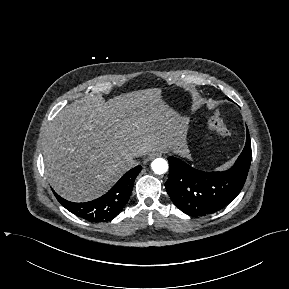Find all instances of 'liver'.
Masks as SVG:
<instances>
[{"label": "liver", "mask_w": 289, "mask_h": 289, "mask_svg": "<svg viewBox=\"0 0 289 289\" xmlns=\"http://www.w3.org/2000/svg\"><path fill=\"white\" fill-rule=\"evenodd\" d=\"M161 94L148 89L64 108L43 135L46 175L54 190L69 201L93 200L131 168L127 156L181 152L184 121Z\"/></svg>", "instance_id": "liver-1"}]
</instances>
